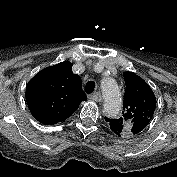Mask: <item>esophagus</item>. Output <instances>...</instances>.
Segmentation results:
<instances>
[{
    "label": "esophagus",
    "mask_w": 177,
    "mask_h": 177,
    "mask_svg": "<svg viewBox=\"0 0 177 177\" xmlns=\"http://www.w3.org/2000/svg\"><path fill=\"white\" fill-rule=\"evenodd\" d=\"M90 98L94 101H97V102H102L103 98H102V95L100 92H95L94 94H92L90 96Z\"/></svg>",
    "instance_id": "esophagus-1"
}]
</instances>
